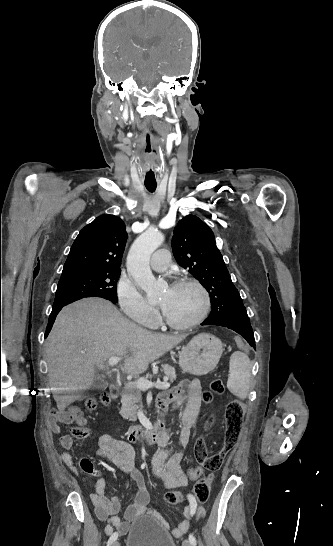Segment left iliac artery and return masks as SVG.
<instances>
[{
    "label": "left iliac artery",
    "mask_w": 333,
    "mask_h": 546,
    "mask_svg": "<svg viewBox=\"0 0 333 546\" xmlns=\"http://www.w3.org/2000/svg\"><path fill=\"white\" fill-rule=\"evenodd\" d=\"M189 541L192 544V546H196V538L193 534H189Z\"/></svg>",
    "instance_id": "left-iliac-artery-1"
}]
</instances>
